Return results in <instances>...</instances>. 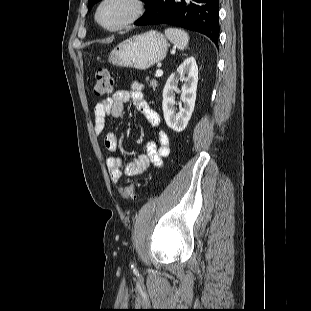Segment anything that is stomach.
Instances as JSON below:
<instances>
[{
    "label": "stomach",
    "instance_id": "obj_1",
    "mask_svg": "<svg viewBox=\"0 0 311 311\" xmlns=\"http://www.w3.org/2000/svg\"><path fill=\"white\" fill-rule=\"evenodd\" d=\"M167 50L168 41L164 35L151 30L119 43L110 52L108 61L119 67L145 70L163 60Z\"/></svg>",
    "mask_w": 311,
    "mask_h": 311
}]
</instances>
